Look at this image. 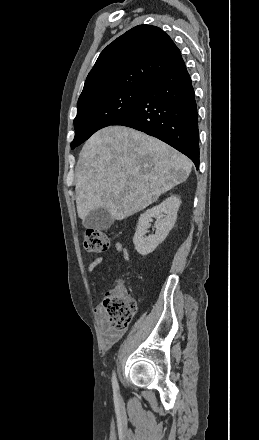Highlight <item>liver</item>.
I'll return each instance as SVG.
<instances>
[{
	"mask_svg": "<svg viewBox=\"0 0 259 440\" xmlns=\"http://www.w3.org/2000/svg\"><path fill=\"white\" fill-rule=\"evenodd\" d=\"M188 157L161 140L125 126L97 131L84 144L76 166V205L82 220L98 208L123 220L184 182Z\"/></svg>",
	"mask_w": 259,
	"mask_h": 440,
	"instance_id": "obj_1",
	"label": "liver"
}]
</instances>
